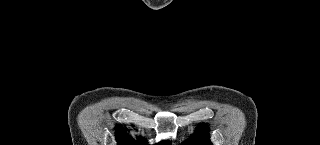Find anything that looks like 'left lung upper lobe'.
<instances>
[{
  "label": "left lung upper lobe",
  "instance_id": "obj_1",
  "mask_svg": "<svg viewBox=\"0 0 320 145\" xmlns=\"http://www.w3.org/2000/svg\"><path fill=\"white\" fill-rule=\"evenodd\" d=\"M209 133L207 125H201L197 128L194 135L186 142L182 143L183 145H212L209 141Z\"/></svg>",
  "mask_w": 320,
  "mask_h": 145
}]
</instances>
